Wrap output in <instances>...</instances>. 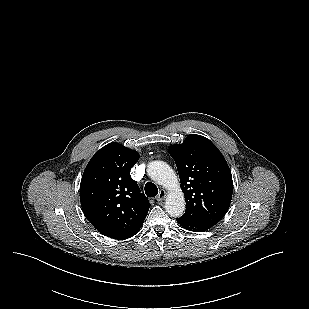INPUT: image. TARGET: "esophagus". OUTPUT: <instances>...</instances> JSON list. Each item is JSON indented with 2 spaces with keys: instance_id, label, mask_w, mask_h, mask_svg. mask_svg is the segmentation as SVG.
<instances>
[{
  "instance_id": "1",
  "label": "esophagus",
  "mask_w": 309,
  "mask_h": 309,
  "mask_svg": "<svg viewBox=\"0 0 309 309\" xmlns=\"http://www.w3.org/2000/svg\"><path fill=\"white\" fill-rule=\"evenodd\" d=\"M165 197H166V191L163 190V189H161V190L159 191L158 195L155 197V199H156L157 201H162V200H164Z\"/></svg>"
}]
</instances>
